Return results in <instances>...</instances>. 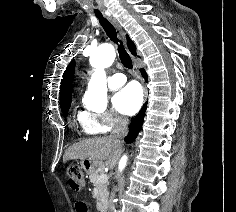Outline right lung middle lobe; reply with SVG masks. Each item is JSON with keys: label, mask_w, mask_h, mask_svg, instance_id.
Returning <instances> with one entry per match:
<instances>
[{"label": "right lung middle lobe", "mask_w": 236, "mask_h": 212, "mask_svg": "<svg viewBox=\"0 0 236 212\" xmlns=\"http://www.w3.org/2000/svg\"><path fill=\"white\" fill-rule=\"evenodd\" d=\"M71 99L64 100L60 102L61 110L65 116H67L68 110L70 108Z\"/></svg>", "instance_id": "dd1d6c3e"}]
</instances>
